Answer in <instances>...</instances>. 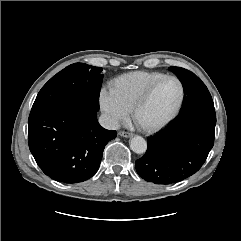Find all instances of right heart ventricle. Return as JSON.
<instances>
[{"instance_id": "e07e8e85", "label": "right heart ventricle", "mask_w": 241, "mask_h": 241, "mask_svg": "<svg viewBox=\"0 0 241 241\" xmlns=\"http://www.w3.org/2000/svg\"><path fill=\"white\" fill-rule=\"evenodd\" d=\"M165 76L161 72L136 71L118 76L111 82V89L130 110L138 97L154 81Z\"/></svg>"}]
</instances>
